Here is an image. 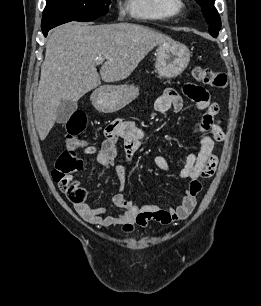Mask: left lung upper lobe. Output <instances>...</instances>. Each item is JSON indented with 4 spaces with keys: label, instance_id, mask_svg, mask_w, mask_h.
<instances>
[{
    "label": "left lung upper lobe",
    "instance_id": "obj_1",
    "mask_svg": "<svg viewBox=\"0 0 261 306\" xmlns=\"http://www.w3.org/2000/svg\"><path fill=\"white\" fill-rule=\"evenodd\" d=\"M201 6L203 15L209 25V33L216 37L221 29V20L219 14L214 7V0H196Z\"/></svg>",
    "mask_w": 261,
    "mask_h": 306
}]
</instances>
